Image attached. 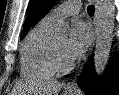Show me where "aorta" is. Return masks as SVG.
Returning <instances> with one entry per match:
<instances>
[{"label":"aorta","mask_w":119,"mask_h":95,"mask_svg":"<svg viewBox=\"0 0 119 95\" xmlns=\"http://www.w3.org/2000/svg\"><path fill=\"white\" fill-rule=\"evenodd\" d=\"M98 6V25L96 28V45L94 52V68L98 76L106 69L113 39L115 6L113 0H96ZM69 25L63 21L55 25V31L67 33Z\"/></svg>","instance_id":"762f6f07"}]
</instances>
